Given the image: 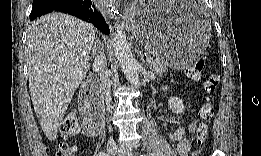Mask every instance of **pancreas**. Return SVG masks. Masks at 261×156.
I'll return each mask as SVG.
<instances>
[{
	"label": "pancreas",
	"instance_id": "pancreas-1",
	"mask_svg": "<svg viewBox=\"0 0 261 156\" xmlns=\"http://www.w3.org/2000/svg\"><path fill=\"white\" fill-rule=\"evenodd\" d=\"M155 59L150 63V68L155 71L156 73L160 74L165 72L171 67L168 61L163 60L159 56H154Z\"/></svg>",
	"mask_w": 261,
	"mask_h": 156
}]
</instances>
